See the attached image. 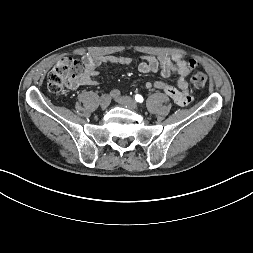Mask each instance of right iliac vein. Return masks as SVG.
Returning a JSON list of instances; mask_svg holds the SVG:
<instances>
[{
	"label": "right iliac vein",
	"mask_w": 253,
	"mask_h": 253,
	"mask_svg": "<svg viewBox=\"0 0 253 253\" xmlns=\"http://www.w3.org/2000/svg\"><path fill=\"white\" fill-rule=\"evenodd\" d=\"M111 97L108 94H104L101 96L99 100V104L101 108H107L110 105Z\"/></svg>",
	"instance_id": "right-iliac-vein-1"
}]
</instances>
